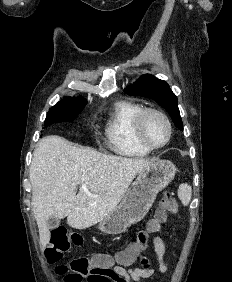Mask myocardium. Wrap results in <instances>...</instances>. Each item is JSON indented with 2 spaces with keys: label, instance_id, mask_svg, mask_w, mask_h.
Masks as SVG:
<instances>
[{
  "label": "myocardium",
  "instance_id": "obj_1",
  "mask_svg": "<svg viewBox=\"0 0 232 282\" xmlns=\"http://www.w3.org/2000/svg\"><path fill=\"white\" fill-rule=\"evenodd\" d=\"M149 115L159 116L166 124L167 130H168V135H167L166 140L162 144H159V145L152 144L146 138V136L144 134L145 120ZM134 134H135L137 141L142 146H144L145 148H147L150 151H153V150H158V149L165 147L170 142V140L172 138V134H173V127H172V124H171L169 117L163 111H161L157 108L147 107V108H143L137 114V116L135 117Z\"/></svg>",
  "mask_w": 232,
  "mask_h": 282
}]
</instances>
